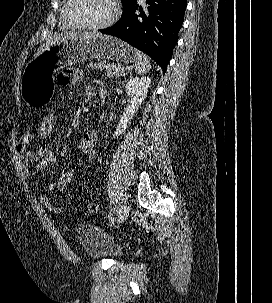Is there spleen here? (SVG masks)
<instances>
[{
	"mask_svg": "<svg viewBox=\"0 0 272 303\" xmlns=\"http://www.w3.org/2000/svg\"><path fill=\"white\" fill-rule=\"evenodd\" d=\"M136 51V55H137V60L135 63V70L138 73H147L150 68V61L147 57V55H145L144 53H142L141 51L135 50Z\"/></svg>",
	"mask_w": 272,
	"mask_h": 303,
	"instance_id": "spleen-1",
	"label": "spleen"
}]
</instances>
